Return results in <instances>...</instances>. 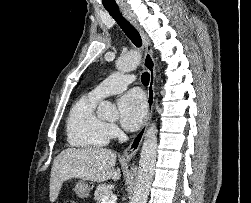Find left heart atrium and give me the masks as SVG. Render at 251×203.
I'll return each mask as SVG.
<instances>
[{"instance_id":"1","label":"left heart atrium","mask_w":251,"mask_h":203,"mask_svg":"<svg viewBox=\"0 0 251 203\" xmlns=\"http://www.w3.org/2000/svg\"><path fill=\"white\" fill-rule=\"evenodd\" d=\"M118 109L122 126L127 130H136L146 118L147 103L142 93L132 90L119 98Z\"/></svg>"}]
</instances>
